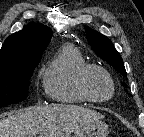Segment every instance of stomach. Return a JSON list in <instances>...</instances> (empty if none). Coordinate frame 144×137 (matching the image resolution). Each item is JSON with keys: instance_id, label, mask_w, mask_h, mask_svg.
Instances as JSON below:
<instances>
[{"instance_id": "obj_1", "label": "stomach", "mask_w": 144, "mask_h": 137, "mask_svg": "<svg viewBox=\"0 0 144 137\" xmlns=\"http://www.w3.org/2000/svg\"><path fill=\"white\" fill-rule=\"evenodd\" d=\"M108 133L107 124L97 121L78 128L72 137H107Z\"/></svg>"}]
</instances>
